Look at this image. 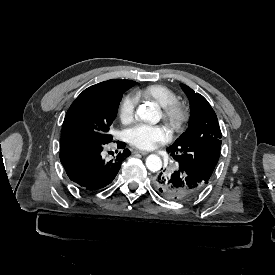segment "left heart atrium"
Here are the masks:
<instances>
[{
    "label": "left heart atrium",
    "instance_id": "obj_1",
    "mask_svg": "<svg viewBox=\"0 0 275 275\" xmlns=\"http://www.w3.org/2000/svg\"><path fill=\"white\" fill-rule=\"evenodd\" d=\"M128 143L140 150H152L169 142L172 131L166 125L139 123L125 132Z\"/></svg>",
    "mask_w": 275,
    "mask_h": 275
}]
</instances>
